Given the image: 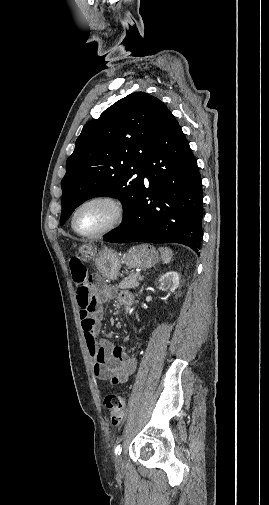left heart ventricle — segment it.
<instances>
[{
    "mask_svg": "<svg viewBox=\"0 0 269 505\" xmlns=\"http://www.w3.org/2000/svg\"><path fill=\"white\" fill-rule=\"evenodd\" d=\"M114 208L106 202L84 206L75 219L76 228L83 233H94L107 226L114 218Z\"/></svg>",
    "mask_w": 269,
    "mask_h": 505,
    "instance_id": "left-heart-ventricle-1",
    "label": "left heart ventricle"
}]
</instances>
